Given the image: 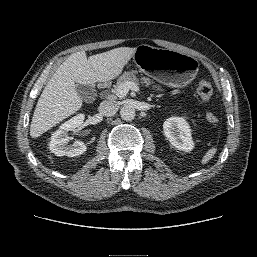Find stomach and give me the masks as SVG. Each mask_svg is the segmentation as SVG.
I'll return each instance as SVG.
<instances>
[{"mask_svg":"<svg viewBox=\"0 0 257 257\" xmlns=\"http://www.w3.org/2000/svg\"><path fill=\"white\" fill-rule=\"evenodd\" d=\"M136 67L166 85L184 87L197 75L198 60L182 52L142 44L132 56Z\"/></svg>","mask_w":257,"mask_h":257,"instance_id":"1","label":"stomach"}]
</instances>
